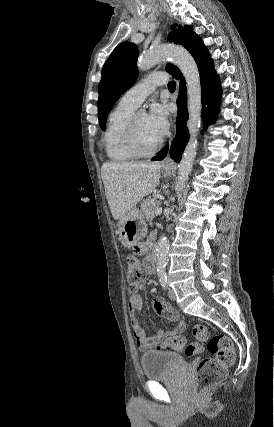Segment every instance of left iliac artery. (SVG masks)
Wrapping results in <instances>:
<instances>
[{
    "label": "left iliac artery",
    "mask_w": 274,
    "mask_h": 427,
    "mask_svg": "<svg viewBox=\"0 0 274 427\" xmlns=\"http://www.w3.org/2000/svg\"><path fill=\"white\" fill-rule=\"evenodd\" d=\"M161 285L164 289H166L168 287L167 280H161Z\"/></svg>",
    "instance_id": "left-iliac-artery-1"
}]
</instances>
